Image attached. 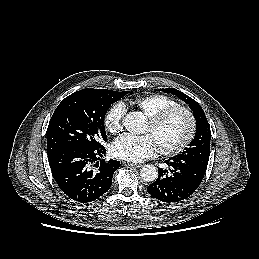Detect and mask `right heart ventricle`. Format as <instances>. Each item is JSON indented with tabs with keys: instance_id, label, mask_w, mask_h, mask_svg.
I'll use <instances>...</instances> for the list:
<instances>
[{
	"instance_id": "right-heart-ventricle-1",
	"label": "right heart ventricle",
	"mask_w": 259,
	"mask_h": 259,
	"mask_svg": "<svg viewBox=\"0 0 259 259\" xmlns=\"http://www.w3.org/2000/svg\"><path fill=\"white\" fill-rule=\"evenodd\" d=\"M132 103L137 106L148 118L167 108L179 105L177 101L163 94H148L139 96L136 97Z\"/></svg>"
}]
</instances>
